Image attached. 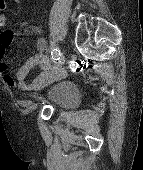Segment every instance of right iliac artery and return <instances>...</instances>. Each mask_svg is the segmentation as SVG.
<instances>
[{
    "mask_svg": "<svg viewBox=\"0 0 143 170\" xmlns=\"http://www.w3.org/2000/svg\"><path fill=\"white\" fill-rule=\"evenodd\" d=\"M60 57H61V52H60L59 49L56 48V49H53V50L51 51V58H52L54 61L59 60Z\"/></svg>",
    "mask_w": 143,
    "mask_h": 170,
    "instance_id": "82829eb1",
    "label": "right iliac artery"
}]
</instances>
